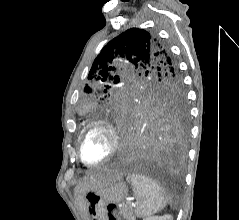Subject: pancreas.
Instances as JSON below:
<instances>
[{
  "label": "pancreas",
  "mask_w": 239,
  "mask_h": 220,
  "mask_svg": "<svg viewBox=\"0 0 239 220\" xmlns=\"http://www.w3.org/2000/svg\"><path fill=\"white\" fill-rule=\"evenodd\" d=\"M119 214L126 220H135L133 209L130 205L121 206Z\"/></svg>",
  "instance_id": "1"
}]
</instances>
